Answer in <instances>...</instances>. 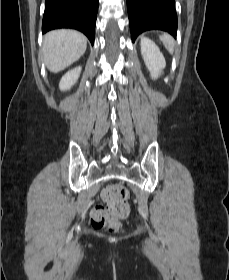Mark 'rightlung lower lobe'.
Here are the masks:
<instances>
[{"label": "right lung lower lobe", "instance_id": "obj_1", "mask_svg": "<svg viewBox=\"0 0 229 280\" xmlns=\"http://www.w3.org/2000/svg\"><path fill=\"white\" fill-rule=\"evenodd\" d=\"M98 0H46L42 32L72 28L83 32L94 43Z\"/></svg>", "mask_w": 229, "mask_h": 280}]
</instances>
